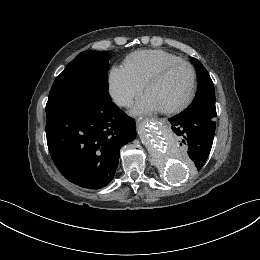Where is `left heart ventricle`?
<instances>
[{"mask_svg":"<svg viewBox=\"0 0 260 260\" xmlns=\"http://www.w3.org/2000/svg\"><path fill=\"white\" fill-rule=\"evenodd\" d=\"M190 79L189 69L186 66H178L150 86L146 93L163 108L173 104L186 93Z\"/></svg>","mask_w":260,"mask_h":260,"instance_id":"left-heart-ventricle-1","label":"left heart ventricle"}]
</instances>
